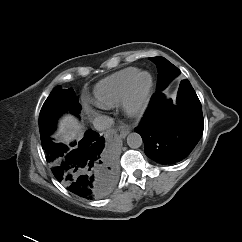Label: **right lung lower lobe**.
Returning a JSON list of instances; mask_svg holds the SVG:
<instances>
[{"label": "right lung lower lobe", "mask_w": 242, "mask_h": 242, "mask_svg": "<svg viewBox=\"0 0 242 242\" xmlns=\"http://www.w3.org/2000/svg\"><path fill=\"white\" fill-rule=\"evenodd\" d=\"M42 148L56 179L73 194L85 199L99 198L114 186V166L102 153L104 138L98 133L88 130L69 147L48 137Z\"/></svg>", "instance_id": "1"}]
</instances>
